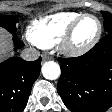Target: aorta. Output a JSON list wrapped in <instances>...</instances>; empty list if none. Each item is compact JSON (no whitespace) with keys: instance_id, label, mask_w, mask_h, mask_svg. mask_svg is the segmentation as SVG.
Returning <instances> with one entry per match:
<instances>
[{"instance_id":"aorta-1","label":"aorta","mask_w":112,"mask_h":112,"mask_svg":"<svg viewBox=\"0 0 112 112\" xmlns=\"http://www.w3.org/2000/svg\"><path fill=\"white\" fill-rule=\"evenodd\" d=\"M42 75L48 80H56L59 78L61 70L60 66L54 61H46L41 68Z\"/></svg>"}]
</instances>
